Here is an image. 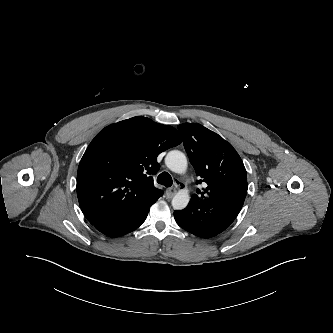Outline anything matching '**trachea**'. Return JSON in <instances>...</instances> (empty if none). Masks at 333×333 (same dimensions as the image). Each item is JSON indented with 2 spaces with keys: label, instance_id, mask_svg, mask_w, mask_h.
I'll return each mask as SVG.
<instances>
[{
  "label": "trachea",
  "instance_id": "trachea-1",
  "mask_svg": "<svg viewBox=\"0 0 333 333\" xmlns=\"http://www.w3.org/2000/svg\"><path fill=\"white\" fill-rule=\"evenodd\" d=\"M157 183L164 185L165 187H171L173 184V180L169 173L162 172L157 177Z\"/></svg>",
  "mask_w": 333,
  "mask_h": 333
}]
</instances>
